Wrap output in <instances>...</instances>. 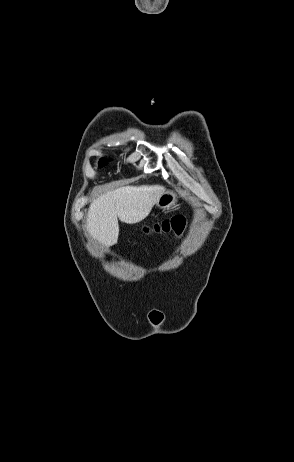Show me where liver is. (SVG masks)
<instances>
[{"label":"liver","mask_w":294,"mask_h":462,"mask_svg":"<svg viewBox=\"0 0 294 462\" xmlns=\"http://www.w3.org/2000/svg\"><path fill=\"white\" fill-rule=\"evenodd\" d=\"M164 192L160 185L125 186L109 191L91 202L86 231L110 247L118 240V218L127 224L144 220Z\"/></svg>","instance_id":"obj_1"}]
</instances>
